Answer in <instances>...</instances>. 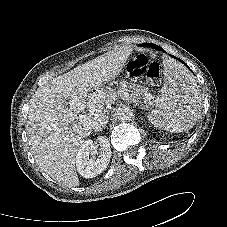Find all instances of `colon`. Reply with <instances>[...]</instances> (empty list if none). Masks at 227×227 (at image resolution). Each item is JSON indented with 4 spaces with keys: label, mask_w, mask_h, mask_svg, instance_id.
<instances>
[{
    "label": "colon",
    "mask_w": 227,
    "mask_h": 227,
    "mask_svg": "<svg viewBox=\"0 0 227 227\" xmlns=\"http://www.w3.org/2000/svg\"><path fill=\"white\" fill-rule=\"evenodd\" d=\"M127 70L131 77L145 76L153 85H158L161 81L159 64L156 62L149 63L148 58L141 53L129 60Z\"/></svg>",
    "instance_id": "colon-1"
}]
</instances>
